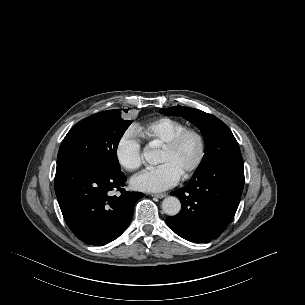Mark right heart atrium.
Returning <instances> with one entry per match:
<instances>
[{
    "label": "right heart atrium",
    "instance_id": "right-heart-atrium-1",
    "mask_svg": "<svg viewBox=\"0 0 305 305\" xmlns=\"http://www.w3.org/2000/svg\"><path fill=\"white\" fill-rule=\"evenodd\" d=\"M115 156L119 165L128 171H134L141 166L143 150L134 130H127L120 136L115 146Z\"/></svg>",
    "mask_w": 305,
    "mask_h": 305
}]
</instances>
